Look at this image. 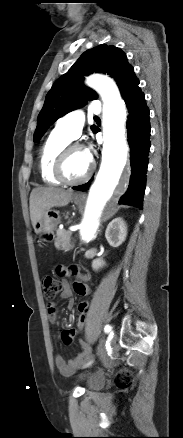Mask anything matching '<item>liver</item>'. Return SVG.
<instances>
[{
	"instance_id": "6515ba94",
	"label": "liver",
	"mask_w": 183,
	"mask_h": 438,
	"mask_svg": "<svg viewBox=\"0 0 183 438\" xmlns=\"http://www.w3.org/2000/svg\"><path fill=\"white\" fill-rule=\"evenodd\" d=\"M73 190L60 188H36L30 194V218L32 225L37 223L42 215L50 208L63 207L69 204Z\"/></svg>"
}]
</instances>
